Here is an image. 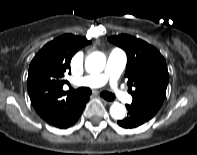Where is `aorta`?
Listing matches in <instances>:
<instances>
[{
    "instance_id": "obj_1",
    "label": "aorta",
    "mask_w": 197,
    "mask_h": 155,
    "mask_svg": "<svg viewBox=\"0 0 197 155\" xmlns=\"http://www.w3.org/2000/svg\"><path fill=\"white\" fill-rule=\"evenodd\" d=\"M105 64L106 58L101 52H94L88 55L85 60L86 71L92 74L101 72ZM110 114L116 120L123 119L126 114V108L124 105L116 102L110 107Z\"/></svg>"
}]
</instances>
